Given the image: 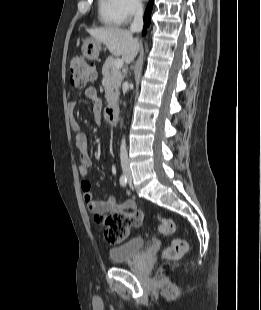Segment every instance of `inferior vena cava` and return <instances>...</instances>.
Masks as SVG:
<instances>
[{
  "label": "inferior vena cava",
  "mask_w": 261,
  "mask_h": 310,
  "mask_svg": "<svg viewBox=\"0 0 261 310\" xmlns=\"http://www.w3.org/2000/svg\"><path fill=\"white\" fill-rule=\"evenodd\" d=\"M143 28V7L140 2H137L134 6V20L130 26V32H140ZM120 159H121V165L123 167L128 166V154L126 149V143L125 139L122 140V144L120 147Z\"/></svg>",
  "instance_id": "602c4592"
}]
</instances>
